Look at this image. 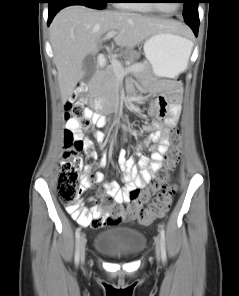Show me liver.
Wrapping results in <instances>:
<instances>
[{"label": "liver", "mask_w": 239, "mask_h": 296, "mask_svg": "<svg viewBox=\"0 0 239 296\" xmlns=\"http://www.w3.org/2000/svg\"><path fill=\"white\" fill-rule=\"evenodd\" d=\"M183 30L182 24L176 21L139 13L100 11L82 5L65 7L57 13L50 26L53 62L58 72L62 102L68 100L84 77V59L98 52L106 33L116 31V45L133 48L156 33H179Z\"/></svg>", "instance_id": "1"}]
</instances>
